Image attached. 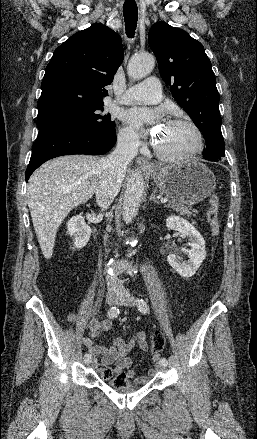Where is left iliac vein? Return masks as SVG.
Instances as JSON below:
<instances>
[{"mask_svg":"<svg viewBox=\"0 0 257 439\" xmlns=\"http://www.w3.org/2000/svg\"><path fill=\"white\" fill-rule=\"evenodd\" d=\"M136 302H137L136 299L128 291H123L120 293L119 304L132 307L136 305ZM165 368H166L165 364L159 363L157 365L158 370L163 371Z\"/></svg>","mask_w":257,"mask_h":439,"instance_id":"4c4485c4","label":"left iliac vein"}]
</instances>
